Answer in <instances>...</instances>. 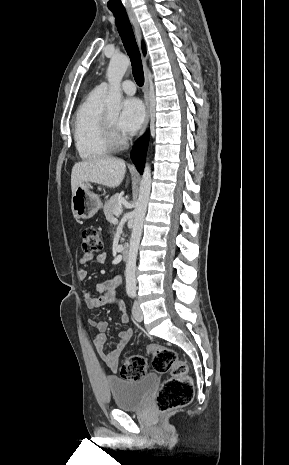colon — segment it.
Returning <instances> with one entry per match:
<instances>
[{
    "mask_svg": "<svg viewBox=\"0 0 289 465\" xmlns=\"http://www.w3.org/2000/svg\"><path fill=\"white\" fill-rule=\"evenodd\" d=\"M82 250L95 253L102 249L103 243L94 227L82 230ZM152 355V366L158 373H170L160 386L156 395V405L160 412L187 406L194 395L190 369L186 362L179 359L177 352L169 347L152 344L148 346ZM147 362L140 355L128 356L121 365L120 375L127 380H137L147 373Z\"/></svg>",
    "mask_w": 289,
    "mask_h": 465,
    "instance_id": "obj_1",
    "label": "colon"
}]
</instances>
